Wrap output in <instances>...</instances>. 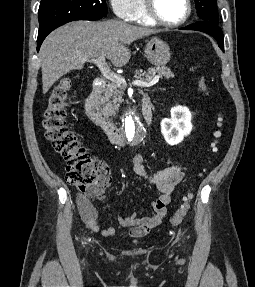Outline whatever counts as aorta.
<instances>
[{"label":"aorta","instance_id":"762f6f07","mask_svg":"<svg viewBox=\"0 0 255 287\" xmlns=\"http://www.w3.org/2000/svg\"><path fill=\"white\" fill-rule=\"evenodd\" d=\"M143 125L135 111L130 112L125 118V134L128 143H135L142 137Z\"/></svg>","mask_w":255,"mask_h":287}]
</instances>
